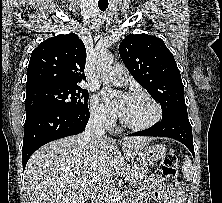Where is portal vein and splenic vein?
Returning <instances> with one entry per match:
<instances>
[{
    "label": "portal vein and splenic vein",
    "mask_w": 222,
    "mask_h": 203,
    "mask_svg": "<svg viewBox=\"0 0 222 203\" xmlns=\"http://www.w3.org/2000/svg\"><path fill=\"white\" fill-rule=\"evenodd\" d=\"M125 180H129V177H126Z\"/></svg>",
    "instance_id": "obj_1"
}]
</instances>
